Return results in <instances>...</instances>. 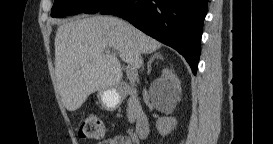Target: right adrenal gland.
Wrapping results in <instances>:
<instances>
[{"label":"right adrenal gland","mask_w":273,"mask_h":144,"mask_svg":"<svg viewBox=\"0 0 273 144\" xmlns=\"http://www.w3.org/2000/svg\"><path fill=\"white\" fill-rule=\"evenodd\" d=\"M155 58L163 59V56L161 55L160 52H156L152 57H150V59L147 63V68H148L147 74L148 75H150V73H151V63L153 62V60Z\"/></svg>","instance_id":"2a0ac1e0"}]
</instances>
